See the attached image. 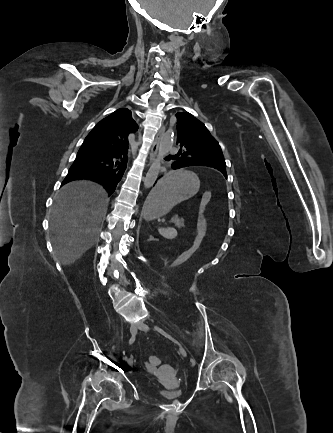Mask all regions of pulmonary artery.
I'll list each match as a JSON object with an SVG mask.
<instances>
[{"instance_id": "1", "label": "pulmonary artery", "mask_w": 333, "mask_h": 433, "mask_svg": "<svg viewBox=\"0 0 333 433\" xmlns=\"http://www.w3.org/2000/svg\"><path fill=\"white\" fill-rule=\"evenodd\" d=\"M169 151H170L171 153H175V152H176V150H175L174 148H170Z\"/></svg>"}]
</instances>
